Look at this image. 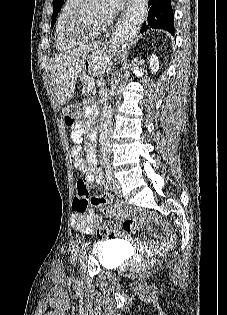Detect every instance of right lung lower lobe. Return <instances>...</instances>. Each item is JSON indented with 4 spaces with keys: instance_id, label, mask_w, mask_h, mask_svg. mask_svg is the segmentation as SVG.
<instances>
[{
    "instance_id": "right-lung-lower-lobe-1",
    "label": "right lung lower lobe",
    "mask_w": 227,
    "mask_h": 315,
    "mask_svg": "<svg viewBox=\"0 0 227 315\" xmlns=\"http://www.w3.org/2000/svg\"><path fill=\"white\" fill-rule=\"evenodd\" d=\"M150 28L164 29L174 34V14L170 0H149L148 16L141 32Z\"/></svg>"
}]
</instances>
